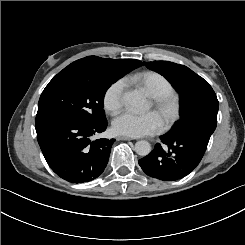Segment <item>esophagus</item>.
<instances>
[{
  "mask_svg": "<svg viewBox=\"0 0 245 245\" xmlns=\"http://www.w3.org/2000/svg\"><path fill=\"white\" fill-rule=\"evenodd\" d=\"M116 139L117 140H133L134 138L127 137V136H117Z\"/></svg>",
  "mask_w": 245,
  "mask_h": 245,
  "instance_id": "1",
  "label": "esophagus"
}]
</instances>
